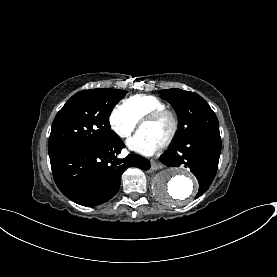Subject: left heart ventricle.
<instances>
[{
    "mask_svg": "<svg viewBox=\"0 0 277 277\" xmlns=\"http://www.w3.org/2000/svg\"><path fill=\"white\" fill-rule=\"evenodd\" d=\"M170 128L171 123L167 118L146 123L141 126V130H144L159 141L163 140L167 136Z\"/></svg>",
    "mask_w": 277,
    "mask_h": 277,
    "instance_id": "b2bd125f",
    "label": "left heart ventricle"
}]
</instances>
